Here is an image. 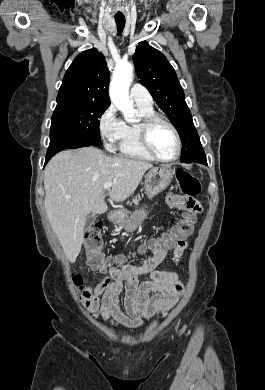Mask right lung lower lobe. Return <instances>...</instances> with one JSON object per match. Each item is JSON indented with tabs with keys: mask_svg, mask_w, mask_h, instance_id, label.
Listing matches in <instances>:
<instances>
[{
	"mask_svg": "<svg viewBox=\"0 0 265 390\" xmlns=\"http://www.w3.org/2000/svg\"><path fill=\"white\" fill-rule=\"evenodd\" d=\"M91 145L92 144L88 142L77 141L69 138H58L55 140H50V145L46 154L45 165L56 153L64 149L81 148Z\"/></svg>",
	"mask_w": 265,
	"mask_h": 390,
	"instance_id": "1",
	"label": "right lung lower lobe"
}]
</instances>
